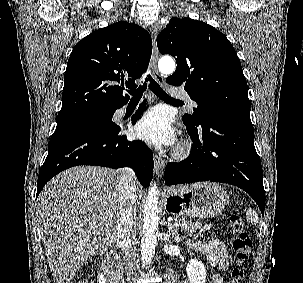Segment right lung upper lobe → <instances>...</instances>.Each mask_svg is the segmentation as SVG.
<instances>
[{"label":"right lung upper lobe","instance_id":"obj_1","mask_svg":"<svg viewBox=\"0 0 303 283\" xmlns=\"http://www.w3.org/2000/svg\"><path fill=\"white\" fill-rule=\"evenodd\" d=\"M151 53L149 33L126 21L86 36L68 60L58 116L123 107L129 96H123L118 83L136 88L135 79L146 71Z\"/></svg>","mask_w":303,"mask_h":283}]
</instances>
